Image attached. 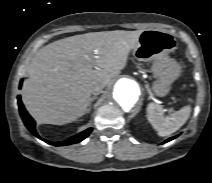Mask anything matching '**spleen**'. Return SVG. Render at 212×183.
<instances>
[{"instance_id": "spleen-1", "label": "spleen", "mask_w": 212, "mask_h": 183, "mask_svg": "<svg viewBox=\"0 0 212 183\" xmlns=\"http://www.w3.org/2000/svg\"><path fill=\"white\" fill-rule=\"evenodd\" d=\"M191 113L189 105L184 106L167 116H164L162 106L150 103L147 106V119L161 137L170 135L180 129L188 120Z\"/></svg>"}]
</instances>
